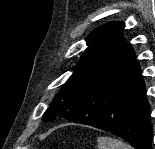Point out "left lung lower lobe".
I'll return each instance as SVG.
<instances>
[{"instance_id": "0a47b994", "label": "left lung lower lobe", "mask_w": 155, "mask_h": 149, "mask_svg": "<svg viewBox=\"0 0 155 149\" xmlns=\"http://www.w3.org/2000/svg\"><path fill=\"white\" fill-rule=\"evenodd\" d=\"M133 48L123 44L113 65L78 98L65 120L123 138L136 149H151L149 103Z\"/></svg>"}]
</instances>
